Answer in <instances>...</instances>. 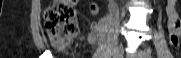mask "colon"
Listing matches in <instances>:
<instances>
[{
	"label": "colon",
	"mask_w": 181,
	"mask_h": 58,
	"mask_svg": "<svg viewBox=\"0 0 181 58\" xmlns=\"http://www.w3.org/2000/svg\"><path fill=\"white\" fill-rule=\"evenodd\" d=\"M77 0H54L45 11V28L53 46L66 50L79 32Z\"/></svg>",
	"instance_id": "1"
}]
</instances>
